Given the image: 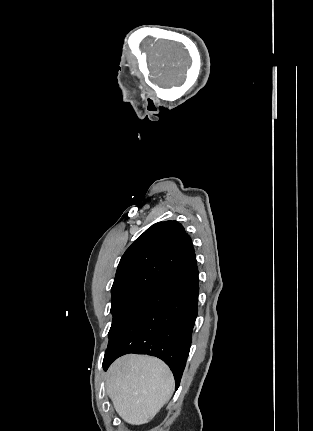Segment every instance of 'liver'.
Segmentation results:
<instances>
[{
	"mask_svg": "<svg viewBox=\"0 0 313 431\" xmlns=\"http://www.w3.org/2000/svg\"><path fill=\"white\" fill-rule=\"evenodd\" d=\"M106 386L119 416L129 424L142 425L171 398L174 378L158 358L129 354L110 366Z\"/></svg>",
	"mask_w": 313,
	"mask_h": 431,
	"instance_id": "liver-1",
	"label": "liver"
}]
</instances>
